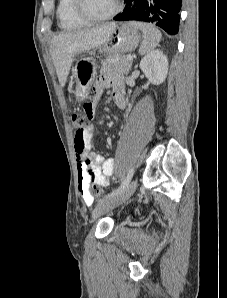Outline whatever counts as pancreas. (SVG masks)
I'll return each mask as SVG.
<instances>
[{"label": "pancreas", "instance_id": "pancreas-1", "mask_svg": "<svg viewBox=\"0 0 227 298\" xmlns=\"http://www.w3.org/2000/svg\"><path fill=\"white\" fill-rule=\"evenodd\" d=\"M132 66V60H128L125 55H109L102 63L101 73L115 71L122 75H127Z\"/></svg>", "mask_w": 227, "mask_h": 298}]
</instances>
